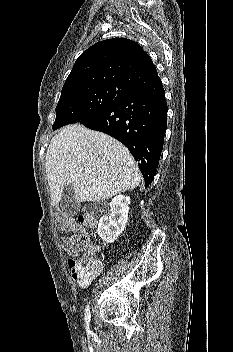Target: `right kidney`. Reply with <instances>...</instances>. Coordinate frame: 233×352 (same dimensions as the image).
<instances>
[{
  "instance_id": "1",
  "label": "right kidney",
  "mask_w": 233,
  "mask_h": 352,
  "mask_svg": "<svg viewBox=\"0 0 233 352\" xmlns=\"http://www.w3.org/2000/svg\"><path fill=\"white\" fill-rule=\"evenodd\" d=\"M130 204V197L118 195L109 203V210L100 218L97 228L98 235L106 243L115 241L124 230Z\"/></svg>"
}]
</instances>
